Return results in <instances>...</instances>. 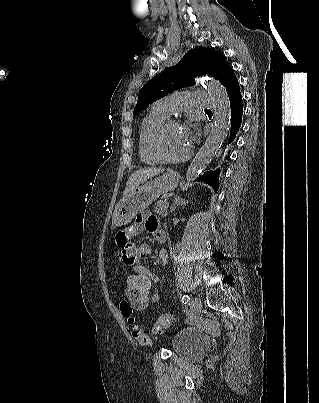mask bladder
Wrapping results in <instances>:
<instances>
[{
  "instance_id": "obj_1",
  "label": "bladder",
  "mask_w": 319,
  "mask_h": 403,
  "mask_svg": "<svg viewBox=\"0 0 319 403\" xmlns=\"http://www.w3.org/2000/svg\"><path fill=\"white\" fill-rule=\"evenodd\" d=\"M173 356L185 360H198L207 348L206 336L198 330H178L170 336Z\"/></svg>"
}]
</instances>
